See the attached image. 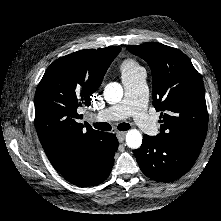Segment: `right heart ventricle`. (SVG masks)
Wrapping results in <instances>:
<instances>
[{
    "label": "right heart ventricle",
    "instance_id": "obj_1",
    "mask_svg": "<svg viewBox=\"0 0 221 221\" xmlns=\"http://www.w3.org/2000/svg\"><path fill=\"white\" fill-rule=\"evenodd\" d=\"M140 70H144L143 67H141L139 63L132 58L125 59L120 64V72L122 78H129L138 73Z\"/></svg>",
    "mask_w": 221,
    "mask_h": 221
}]
</instances>
